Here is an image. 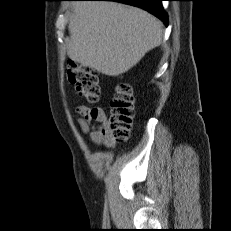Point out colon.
Wrapping results in <instances>:
<instances>
[{
    "label": "colon",
    "instance_id": "colon-1",
    "mask_svg": "<svg viewBox=\"0 0 231 231\" xmlns=\"http://www.w3.org/2000/svg\"><path fill=\"white\" fill-rule=\"evenodd\" d=\"M68 79L79 95L89 102H96L100 95L99 78L91 68L71 64ZM135 113V100L127 83H119L111 101L110 130L116 140L123 141L130 134Z\"/></svg>",
    "mask_w": 231,
    "mask_h": 231
}]
</instances>
